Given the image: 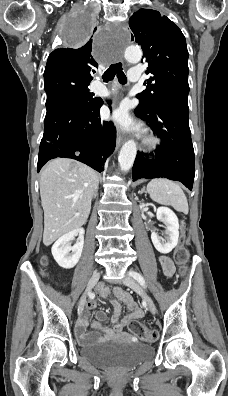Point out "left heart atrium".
Listing matches in <instances>:
<instances>
[{
	"label": "left heart atrium",
	"instance_id": "left-heart-atrium-1",
	"mask_svg": "<svg viewBox=\"0 0 228 396\" xmlns=\"http://www.w3.org/2000/svg\"><path fill=\"white\" fill-rule=\"evenodd\" d=\"M112 119L115 123H117L120 127L123 128H131L133 127V121L128 113V108L126 105H122L116 111H114L112 115Z\"/></svg>",
	"mask_w": 228,
	"mask_h": 396
}]
</instances>
